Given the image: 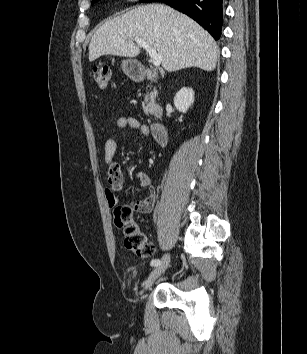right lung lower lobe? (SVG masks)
<instances>
[{
    "instance_id": "obj_1",
    "label": "right lung lower lobe",
    "mask_w": 307,
    "mask_h": 354,
    "mask_svg": "<svg viewBox=\"0 0 307 354\" xmlns=\"http://www.w3.org/2000/svg\"><path fill=\"white\" fill-rule=\"evenodd\" d=\"M185 13L204 27L215 40L221 35L223 0H157Z\"/></svg>"
}]
</instances>
